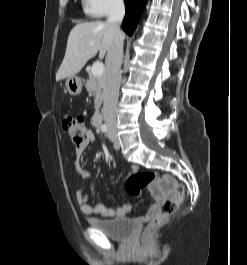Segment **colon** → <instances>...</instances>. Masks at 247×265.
I'll return each mask as SVG.
<instances>
[{
  "mask_svg": "<svg viewBox=\"0 0 247 265\" xmlns=\"http://www.w3.org/2000/svg\"><path fill=\"white\" fill-rule=\"evenodd\" d=\"M62 126L76 146L85 142L88 130L82 117L65 116L62 120ZM145 187H148L152 193L167 190L173 192V197L164 200L157 214L149 221L148 228L154 229L176 212L184 198V186L167 175L149 171L136 172L129 176L126 181V190L129 195L134 197L140 196Z\"/></svg>",
  "mask_w": 247,
  "mask_h": 265,
  "instance_id": "5ec220e1",
  "label": "colon"
}]
</instances>
